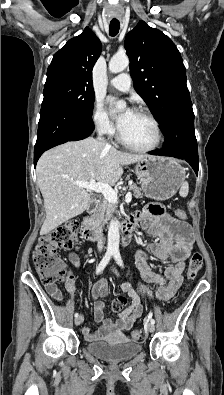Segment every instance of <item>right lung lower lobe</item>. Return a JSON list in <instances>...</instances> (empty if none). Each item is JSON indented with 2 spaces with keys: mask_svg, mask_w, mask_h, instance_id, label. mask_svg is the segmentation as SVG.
I'll use <instances>...</instances> for the list:
<instances>
[{
  "mask_svg": "<svg viewBox=\"0 0 224 395\" xmlns=\"http://www.w3.org/2000/svg\"><path fill=\"white\" fill-rule=\"evenodd\" d=\"M93 129L91 116L43 100L34 148V165L46 150L68 141L82 140L90 136Z\"/></svg>",
  "mask_w": 224,
  "mask_h": 395,
  "instance_id": "obj_1",
  "label": "right lung lower lobe"
}]
</instances>
